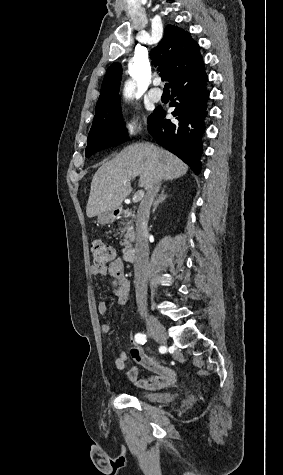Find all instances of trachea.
<instances>
[{"label": "trachea", "mask_w": 283, "mask_h": 475, "mask_svg": "<svg viewBox=\"0 0 283 475\" xmlns=\"http://www.w3.org/2000/svg\"><path fill=\"white\" fill-rule=\"evenodd\" d=\"M169 89H170V85H169V83H166L165 86H164V89H163L164 92H170Z\"/></svg>", "instance_id": "1"}]
</instances>
